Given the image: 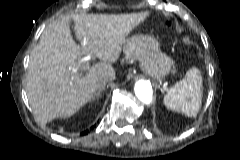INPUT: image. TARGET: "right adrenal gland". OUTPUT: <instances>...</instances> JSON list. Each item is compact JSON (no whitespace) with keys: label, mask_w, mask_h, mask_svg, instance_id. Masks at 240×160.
Wrapping results in <instances>:
<instances>
[{"label":"right adrenal gland","mask_w":240,"mask_h":160,"mask_svg":"<svg viewBox=\"0 0 240 160\" xmlns=\"http://www.w3.org/2000/svg\"><path fill=\"white\" fill-rule=\"evenodd\" d=\"M105 88H100L97 93L94 95L93 100L99 99L101 97V92L104 91Z\"/></svg>","instance_id":"right-adrenal-gland-1"}]
</instances>
